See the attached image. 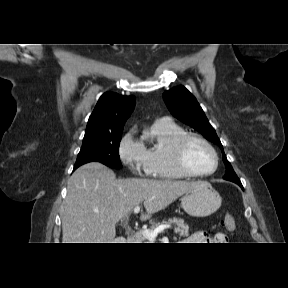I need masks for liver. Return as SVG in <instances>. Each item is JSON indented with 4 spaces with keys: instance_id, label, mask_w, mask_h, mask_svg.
Returning a JSON list of instances; mask_svg holds the SVG:
<instances>
[{
    "instance_id": "liver-1",
    "label": "liver",
    "mask_w": 288,
    "mask_h": 288,
    "mask_svg": "<svg viewBox=\"0 0 288 288\" xmlns=\"http://www.w3.org/2000/svg\"><path fill=\"white\" fill-rule=\"evenodd\" d=\"M196 182L116 179L99 162L79 167L68 180L62 212L63 243H113L116 223L144 203L141 221L165 209Z\"/></svg>"
}]
</instances>
